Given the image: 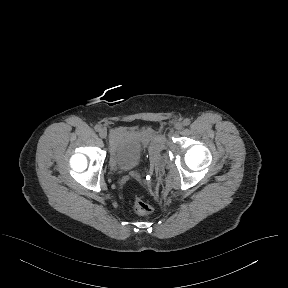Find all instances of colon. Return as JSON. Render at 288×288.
I'll return each instance as SVG.
<instances>
[{"instance_id":"1","label":"colon","mask_w":288,"mask_h":288,"mask_svg":"<svg viewBox=\"0 0 288 288\" xmlns=\"http://www.w3.org/2000/svg\"><path fill=\"white\" fill-rule=\"evenodd\" d=\"M134 211L139 215H147L152 212V206L140 197H135L133 201Z\"/></svg>"}]
</instances>
